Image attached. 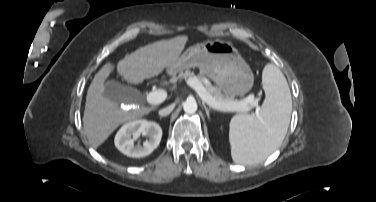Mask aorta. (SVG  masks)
<instances>
[{
  "instance_id": "1",
  "label": "aorta",
  "mask_w": 376,
  "mask_h": 202,
  "mask_svg": "<svg viewBox=\"0 0 376 202\" xmlns=\"http://www.w3.org/2000/svg\"><path fill=\"white\" fill-rule=\"evenodd\" d=\"M198 106L194 99H187L183 104V110L187 114H193L197 111Z\"/></svg>"
}]
</instances>
